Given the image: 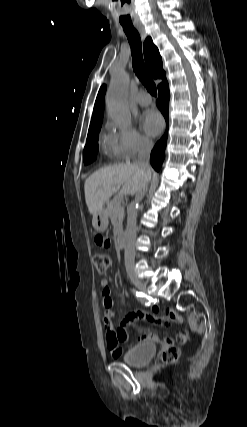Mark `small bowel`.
Masks as SVG:
<instances>
[{
    "instance_id": "c3829d8e",
    "label": "small bowel",
    "mask_w": 247,
    "mask_h": 427,
    "mask_svg": "<svg viewBox=\"0 0 247 427\" xmlns=\"http://www.w3.org/2000/svg\"><path fill=\"white\" fill-rule=\"evenodd\" d=\"M95 246L98 249L109 250L112 247V241L103 235H98L94 240ZM102 305L104 308L103 312V326L106 331V342L107 347L113 354L117 357L122 353L121 343L128 341V332L127 328L133 324L134 321L138 319H144L152 323L168 326L171 322L181 325L183 323V318L181 315L176 313L172 309H166L164 315H158L159 308L153 307L152 313L145 311H135L128 313L124 319L121 321L117 329L113 327V299L111 296V291L109 288V281L107 279L102 280ZM189 332L186 328L180 327L177 332V340L180 343H185L188 340ZM158 336L155 333L148 332L143 334L140 337L141 342H156L158 341ZM173 340L171 337H164L163 344L170 345Z\"/></svg>"
}]
</instances>
